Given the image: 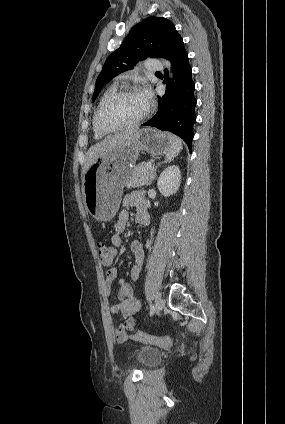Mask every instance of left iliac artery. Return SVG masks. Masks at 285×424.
<instances>
[{"label":"left iliac artery","instance_id":"left-iliac-artery-1","mask_svg":"<svg viewBox=\"0 0 285 424\" xmlns=\"http://www.w3.org/2000/svg\"><path fill=\"white\" fill-rule=\"evenodd\" d=\"M154 312H155L154 305H151L150 306V315L152 316L154 314Z\"/></svg>","mask_w":285,"mask_h":424}]
</instances>
